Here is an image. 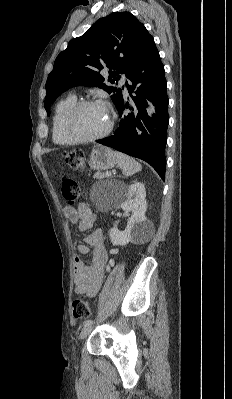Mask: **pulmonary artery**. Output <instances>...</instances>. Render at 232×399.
Wrapping results in <instances>:
<instances>
[{
  "label": "pulmonary artery",
  "mask_w": 232,
  "mask_h": 399,
  "mask_svg": "<svg viewBox=\"0 0 232 399\" xmlns=\"http://www.w3.org/2000/svg\"><path fill=\"white\" fill-rule=\"evenodd\" d=\"M124 82H125L124 79H121V80H120V83H121V84H124Z\"/></svg>",
  "instance_id": "obj_1"
}]
</instances>
